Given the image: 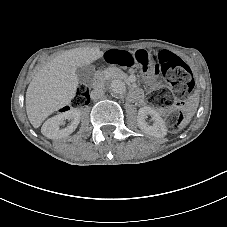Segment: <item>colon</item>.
I'll list each match as a JSON object with an SVG mask.
<instances>
[{
    "label": "colon",
    "mask_w": 227,
    "mask_h": 227,
    "mask_svg": "<svg viewBox=\"0 0 227 227\" xmlns=\"http://www.w3.org/2000/svg\"><path fill=\"white\" fill-rule=\"evenodd\" d=\"M104 59L111 64L130 69H141L145 72L155 69L163 72L172 86V90L160 88L151 98V104L156 108H170L185 100L194 88L190 67L178 56L168 51H159L154 59L140 53L112 50L104 54ZM89 88L81 85L71 101L72 107H83L89 102ZM183 120L181 111L171 112L166 118V124L171 131H176Z\"/></svg>",
    "instance_id": "5ec220e1"
}]
</instances>
